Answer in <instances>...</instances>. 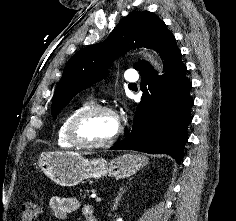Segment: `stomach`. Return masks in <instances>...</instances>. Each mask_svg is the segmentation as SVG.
Here are the masks:
<instances>
[{"instance_id":"obj_1","label":"stomach","mask_w":236,"mask_h":221,"mask_svg":"<svg viewBox=\"0 0 236 221\" xmlns=\"http://www.w3.org/2000/svg\"><path fill=\"white\" fill-rule=\"evenodd\" d=\"M148 163L145 156L126 153L107 161L87 159L77 152L43 153L37 160L43 173L61 186H75L89 178L113 176L116 179L134 175Z\"/></svg>"}]
</instances>
